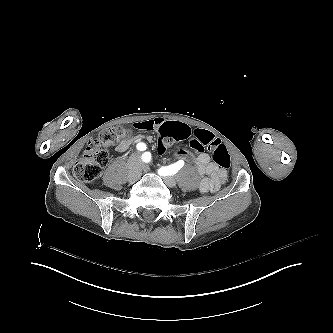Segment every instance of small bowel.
Listing matches in <instances>:
<instances>
[{
    "label": "small bowel",
    "instance_id": "c3829d8e",
    "mask_svg": "<svg viewBox=\"0 0 333 333\" xmlns=\"http://www.w3.org/2000/svg\"><path fill=\"white\" fill-rule=\"evenodd\" d=\"M165 122L167 121L163 118H154V119L138 121L134 124V126L139 130L153 131V130H159L161 125L164 124ZM204 133L208 132L201 130H197L194 132L195 135H203ZM144 140L151 141L152 137L137 135L128 138L118 143V145L116 146V150L119 153H125L133 145H135L136 143H140ZM175 158L185 160L187 162L190 161L191 159L190 154L184 149L178 150L175 153ZM195 166L197 173L200 176H203L199 184V189L203 194L214 193L218 191L221 185L226 180L227 176L226 171L218 167L214 162H212L209 155L206 153H201L195 158Z\"/></svg>",
    "mask_w": 333,
    "mask_h": 333
}]
</instances>
